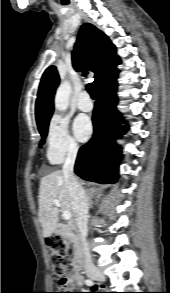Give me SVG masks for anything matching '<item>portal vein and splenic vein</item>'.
I'll return each instance as SVG.
<instances>
[{
  "mask_svg": "<svg viewBox=\"0 0 170 293\" xmlns=\"http://www.w3.org/2000/svg\"><path fill=\"white\" fill-rule=\"evenodd\" d=\"M53 203H54V205L57 206V207H60V206H61L59 200H57V199H54V200H53ZM62 217H63V219H65V220H69V219L71 218V212H70V211H64L63 214H62Z\"/></svg>",
  "mask_w": 170,
  "mask_h": 293,
  "instance_id": "obj_1",
  "label": "portal vein and splenic vein"
}]
</instances>
